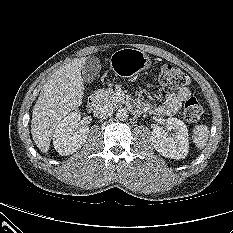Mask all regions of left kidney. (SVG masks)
Instances as JSON below:
<instances>
[{
  "instance_id": "1",
  "label": "left kidney",
  "mask_w": 233,
  "mask_h": 233,
  "mask_svg": "<svg viewBox=\"0 0 233 233\" xmlns=\"http://www.w3.org/2000/svg\"><path fill=\"white\" fill-rule=\"evenodd\" d=\"M165 125L174 133L169 135L162 127H155L151 136L155 150L162 156L172 159L186 157L189 149L187 126L177 118H168Z\"/></svg>"
}]
</instances>
